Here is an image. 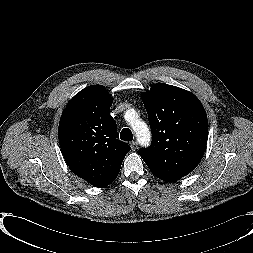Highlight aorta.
<instances>
[{"label":"aorta","instance_id":"762f6f07","mask_svg":"<svg viewBox=\"0 0 253 253\" xmlns=\"http://www.w3.org/2000/svg\"><path fill=\"white\" fill-rule=\"evenodd\" d=\"M125 119L132 126L141 145H148L151 140V134L147 124L138 119L137 112L134 109L126 111Z\"/></svg>","mask_w":253,"mask_h":253}]
</instances>
